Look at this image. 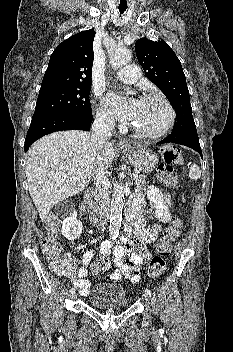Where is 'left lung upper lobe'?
Here are the masks:
<instances>
[{
  "label": "left lung upper lobe",
  "instance_id": "5c2ea615",
  "mask_svg": "<svg viewBox=\"0 0 233 352\" xmlns=\"http://www.w3.org/2000/svg\"><path fill=\"white\" fill-rule=\"evenodd\" d=\"M137 59L149 78L174 107L177 121L171 132L178 138L198 136L189 91L180 60L163 40L141 38L135 43Z\"/></svg>",
  "mask_w": 233,
  "mask_h": 352
}]
</instances>
